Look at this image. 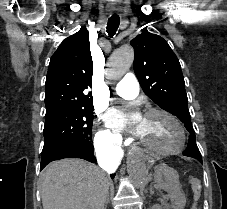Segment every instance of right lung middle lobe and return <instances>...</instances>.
I'll use <instances>...</instances> for the list:
<instances>
[{
	"mask_svg": "<svg viewBox=\"0 0 227 209\" xmlns=\"http://www.w3.org/2000/svg\"><path fill=\"white\" fill-rule=\"evenodd\" d=\"M93 100L58 98L46 103L42 151L79 140H90Z\"/></svg>",
	"mask_w": 227,
	"mask_h": 209,
	"instance_id": "obj_1",
	"label": "right lung middle lobe"
}]
</instances>
